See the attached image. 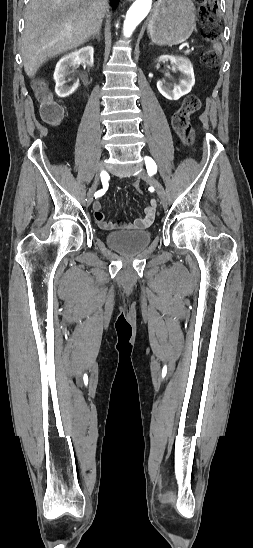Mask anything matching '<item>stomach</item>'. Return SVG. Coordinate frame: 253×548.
Returning <instances> with one entry per match:
<instances>
[{
    "mask_svg": "<svg viewBox=\"0 0 253 548\" xmlns=\"http://www.w3.org/2000/svg\"><path fill=\"white\" fill-rule=\"evenodd\" d=\"M195 21L196 10L192 0H159L147 31L158 45H177L190 37Z\"/></svg>",
    "mask_w": 253,
    "mask_h": 548,
    "instance_id": "obj_1",
    "label": "stomach"
}]
</instances>
